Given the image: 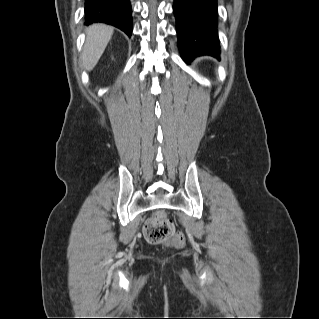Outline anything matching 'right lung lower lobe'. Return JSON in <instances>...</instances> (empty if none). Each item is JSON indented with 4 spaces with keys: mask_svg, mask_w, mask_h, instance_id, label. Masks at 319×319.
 I'll return each instance as SVG.
<instances>
[{
    "mask_svg": "<svg viewBox=\"0 0 319 319\" xmlns=\"http://www.w3.org/2000/svg\"><path fill=\"white\" fill-rule=\"evenodd\" d=\"M129 0H85V24L102 22L115 26L129 37L132 34V15Z\"/></svg>",
    "mask_w": 319,
    "mask_h": 319,
    "instance_id": "98d812e1",
    "label": "right lung lower lobe"
}]
</instances>
